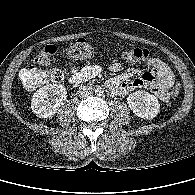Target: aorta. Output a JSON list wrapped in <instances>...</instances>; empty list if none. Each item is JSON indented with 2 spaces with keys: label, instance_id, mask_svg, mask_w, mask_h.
<instances>
[{
  "label": "aorta",
  "instance_id": "obj_1",
  "mask_svg": "<svg viewBox=\"0 0 195 195\" xmlns=\"http://www.w3.org/2000/svg\"><path fill=\"white\" fill-rule=\"evenodd\" d=\"M95 92L97 93V95L101 96L104 93V89L101 86H98Z\"/></svg>",
  "mask_w": 195,
  "mask_h": 195
}]
</instances>
